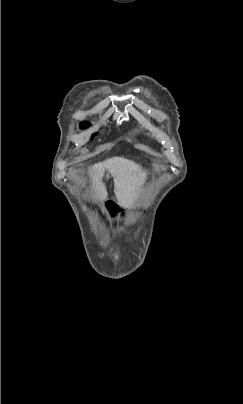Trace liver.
Here are the masks:
<instances>
[{
	"label": "liver",
	"instance_id": "liver-1",
	"mask_svg": "<svg viewBox=\"0 0 243 404\" xmlns=\"http://www.w3.org/2000/svg\"><path fill=\"white\" fill-rule=\"evenodd\" d=\"M105 170H109L114 182V194L118 204L124 208H134L142 192L146 180V172L142 166L124 160V158H109L105 162H99L89 168L90 178H92L93 190L97 192V198L105 200L107 190L102 182Z\"/></svg>",
	"mask_w": 243,
	"mask_h": 404
}]
</instances>
